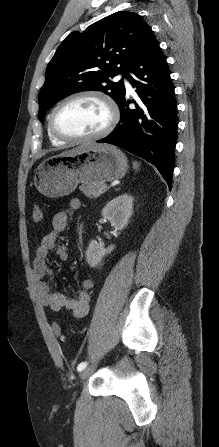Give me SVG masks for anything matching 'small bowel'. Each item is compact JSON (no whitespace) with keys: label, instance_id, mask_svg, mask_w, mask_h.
Here are the masks:
<instances>
[{"label":"small bowel","instance_id":"small-bowel-1","mask_svg":"<svg viewBox=\"0 0 219 447\" xmlns=\"http://www.w3.org/2000/svg\"><path fill=\"white\" fill-rule=\"evenodd\" d=\"M80 207V200L72 199L67 209L61 210L53 216L51 230L43 236L37 246L32 271L35 294L40 303L53 311L67 310L75 318H82L88 312L89 291L93 286V281L90 278L84 279L74 297L53 291L50 282L52 270L47 265V257L50 251H54L58 259H68L67 246L59 244L57 240L59 234L66 228L71 214Z\"/></svg>","mask_w":219,"mask_h":447}]
</instances>
